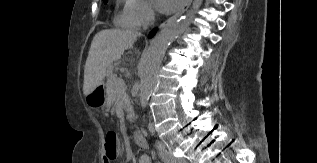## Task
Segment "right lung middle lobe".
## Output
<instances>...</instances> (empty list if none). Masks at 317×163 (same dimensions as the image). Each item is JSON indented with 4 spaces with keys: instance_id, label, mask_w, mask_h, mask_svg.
Masks as SVG:
<instances>
[{
    "instance_id": "right-lung-middle-lobe-1",
    "label": "right lung middle lobe",
    "mask_w": 317,
    "mask_h": 163,
    "mask_svg": "<svg viewBox=\"0 0 317 163\" xmlns=\"http://www.w3.org/2000/svg\"><path fill=\"white\" fill-rule=\"evenodd\" d=\"M103 1H104V3H107L108 0H103Z\"/></svg>"
}]
</instances>
